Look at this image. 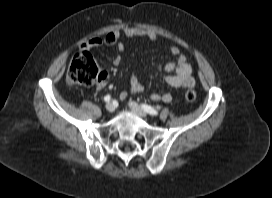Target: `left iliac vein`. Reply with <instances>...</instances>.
Returning <instances> with one entry per match:
<instances>
[{"mask_svg":"<svg viewBox=\"0 0 272 198\" xmlns=\"http://www.w3.org/2000/svg\"><path fill=\"white\" fill-rule=\"evenodd\" d=\"M129 108L140 117H147V113L136 102L130 101Z\"/></svg>","mask_w":272,"mask_h":198,"instance_id":"4c4485c4","label":"left iliac vein"}]
</instances>
